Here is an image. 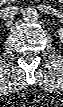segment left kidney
Returning a JSON list of instances; mask_svg holds the SVG:
<instances>
[{
  "label": "left kidney",
  "instance_id": "obj_1",
  "mask_svg": "<svg viewBox=\"0 0 63 107\" xmlns=\"http://www.w3.org/2000/svg\"><path fill=\"white\" fill-rule=\"evenodd\" d=\"M58 33H59L60 39L62 40V39H63V29L60 28V29L58 30Z\"/></svg>",
  "mask_w": 63,
  "mask_h": 107
}]
</instances>
